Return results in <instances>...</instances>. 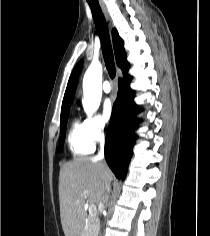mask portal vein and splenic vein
Segmentation results:
<instances>
[{
  "mask_svg": "<svg viewBox=\"0 0 210 236\" xmlns=\"http://www.w3.org/2000/svg\"><path fill=\"white\" fill-rule=\"evenodd\" d=\"M96 212H97L96 206H95L94 204H91V205L89 206V213H90V214H96Z\"/></svg>",
  "mask_w": 210,
  "mask_h": 236,
  "instance_id": "18ae733b",
  "label": "portal vein and splenic vein"
}]
</instances>
